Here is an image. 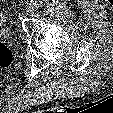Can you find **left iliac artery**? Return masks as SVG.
Masks as SVG:
<instances>
[{
  "instance_id": "1",
  "label": "left iliac artery",
  "mask_w": 113,
  "mask_h": 113,
  "mask_svg": "<svg viewBox=\"0 0 113 113\" xmlns=\"http://www.w3.org/2000/svg\"><path fill=\"white\" fill-rule=\"evenodd\" d=\"M42 6V1H40V0H38V1H35V3H34V7L35 8H40Z\"/></svg>"
}]
</instances>
